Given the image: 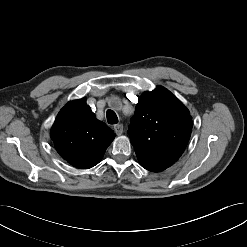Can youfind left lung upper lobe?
Segmentation results:
<instances>
[{"instance_id": "obj_1", "label": "left lung upper lobe", "mask_w": 247, "mask_h": 247, "mask_svg": "<svg viewBox=\"0 0 247 247\" xmlns=\"http://www.w3.org/2000/svg\"><path fill=\"white\" fill-rule=\"evenodd\" d=\"M192 125L188 109L166 88L144 92L128 130L140 165L159 172L174 164L189 141Z\"/></svg>"}]
</instances>
